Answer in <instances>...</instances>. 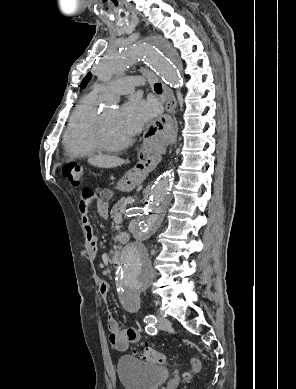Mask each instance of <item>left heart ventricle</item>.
Instances as JSON below:
<instances>
[{
  "label": "left heart ventricle",
  "instance_id": "left-heart-ventricle-1",
  "mask_svg": "<svg viewBox=\"0 0 296 389\" xmlns=\"http://www.w3.org/2000/svg\"><path fill=\"white\" fill-rule=\"evenodd\" d=\"M107 139L111 143L122 142L129 137L121 130L118 123V111L111 110L102 114Z\"/></svg>",
  "mask_w": 296,
  "mask_h": 389
}]
</instances>
